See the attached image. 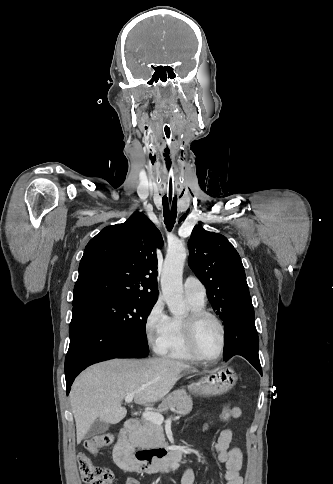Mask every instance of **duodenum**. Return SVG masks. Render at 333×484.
Returning a JSON list of instances; mask_svg holds the SVG:
<instances>
[{
  "label": "duodenum",
  "mask_w": 333,
  "mask_h": 484,
  "mask_svg": "<svg viewBox=\"0 0 333 484\" xmlns=\"http://www.w3.org/2000/svg\"><path fill=\"white\" fill-rule=\"evenodd\" d=\"M139 428L136 419L125 421L121 429L114 452L118 465L125 471L144 474H154L166 469H177L181 466L184 449H155L136 451L135 444L128 439V435Z\"/></svg>",
  "instance_id": "410a0bca"
}]
</instances>
